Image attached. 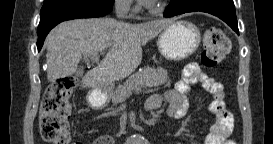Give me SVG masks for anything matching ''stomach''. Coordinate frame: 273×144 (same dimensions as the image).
<instances>
[{"label": "stomach", "instance_id": "1", "mask_svg": "<svg viewBox=\"0 0 273 144\" xmlns=\"http://www.w3.org/2000/svg\"><path fill=\"white\" fill-rule=\"evenodd\" d=\"M201 34L196 25L188 21H176L168 25L157 40L159 52L166 59L179 61L192 55L198 48ZM112 89L93 90L87 96L88 105L103 109L110 102Z\"/></svg>", "mask_w": 273, "mask_h": 144}]
</instances>
